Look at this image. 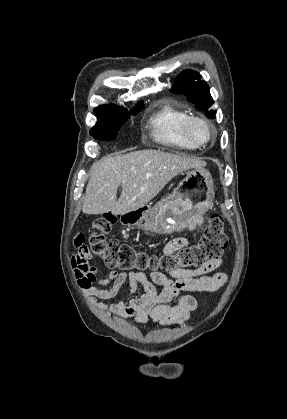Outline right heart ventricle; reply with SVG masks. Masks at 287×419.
<instances>
[{
	"label": "right heart ventricle",
	"mask_w": 287,
	"mask_h": 419,
	"mask_svg": "<svg viewBox=\"0 0 287 419\" xmlns=\"http://www.w3.org/2000/svg\"><path fill=\"white\" fill-rule=\"evenodd\" d=\"M186 112L170 102H161L148 120L152 138L164 146L179 149H195L182 134Z\"/></svg>",
	"instance_id": "obj_1"
}]
</instances>
